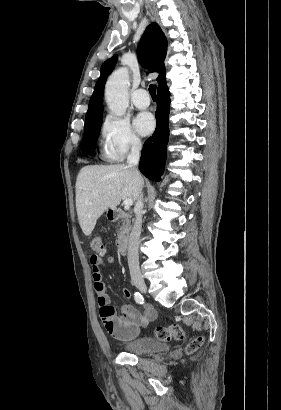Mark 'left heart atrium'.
<instances>
[{
  "label": "left heart atrium",
  "mask_w": 281,
  "mask_h": 410,
  "mask_svg": "<svg viewBox=\"0 0 281 410\" xmlns=\"http://www.w3.org/2000/svg\"><path fill=\"white\" fill-rule=\"evenodd\" d=\"M135 128L142 134L147 135L151 133L155 126V121L153 116L150 113H141L135 119Z\"/></svg>",
  "instance_id": "obj_1"
}]
</instances>
